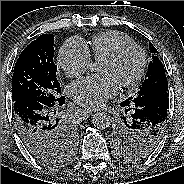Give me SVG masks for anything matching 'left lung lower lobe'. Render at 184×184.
<instances>
[{
  "instance_id": "1",
  "label": "left lung lower lobe",
  "mask_w": 184,
  "mask_h": 184,
  "mask_svg": "<svg viewBox=\"0 0 184 184\" xmlns=\"http://www.w3.org/2000/svg\"><path fill=\"white\" fill-rule=\"evenodd\" d=\"M168 101V91L156 90L136 97L131 102H122L121 106L132 107L130 110L134 125L143 130L153 128L150 133L158 144L165 130ZM155 143L139 144L136 152H150L155 147Z\"/></svg>"
}]
</instances>
